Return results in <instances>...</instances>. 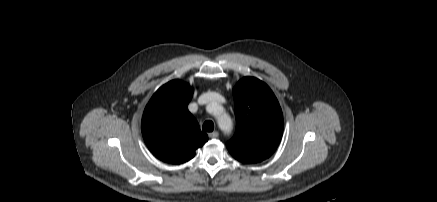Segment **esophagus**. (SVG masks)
<instances>
[{"mask_svg":"<svg viewBox=\"0 0 437 202\" xmlns=\"http://www.w3.org/2000/svg\"><path fill=\"white\" fill-rule=\"evenodd\" d=\"M210 138H217L219 136V133L217 131L211 132L208 134Z\"/></svg>","mask_w":437,"mask_h":202,"instance_id":"1","label":"esophagus"}]
</instances>
